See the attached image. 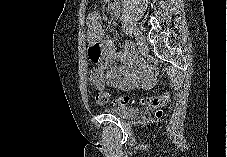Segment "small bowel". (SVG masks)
<instances>
[{
  "label": "small bowel",
  "mask_w": 227,
  "mask_h": 157,
  "mask_svg": "<svg viewBox=\"0 0 227 157\" xmlns=\"http://www.w3.org/2000/svg\"><path fill=\"white\" fill-rule=\"evenodd\" d=\"M87 25L90 42L88 58H90V62H102L99 67L100 73L91 78L97 87L107 85L118 89H130L152 84L155 76L154 70L145 67L140 62L131 44H126L124 49L119 51L112 40L104 39L99 12L94 11L88 15Z\"/></svg>",
  "instance_id": "c3829d8e"
}]
</instances>
